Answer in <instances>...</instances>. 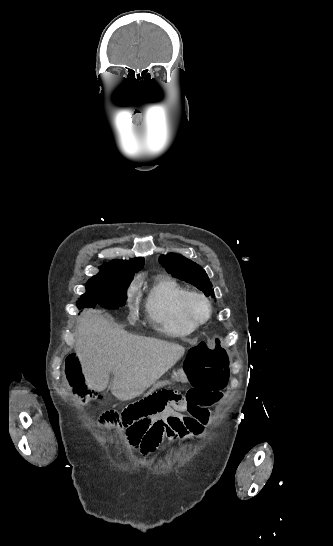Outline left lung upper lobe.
Masks as SVG:
<instances>
[{"label":"left lung upper lobe","mask_w":333,"mask_h":546,"mask_svg":"<svg viewBox=\"0 0 333 546\" xmlns=\"http://www.w3.org/2000/svg\"><path fill=\"white\" fill-rule=\"evenodd\" d=\"M159 261L174 277L196 286L206 296L212 295L214 297L212 284L200 265L175 253L161 255Z\"/></svg>","instance_id":"left-lung-upper-lobe-1"}]
</instances>
